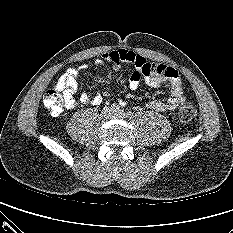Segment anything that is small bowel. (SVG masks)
<instances>
[{
  "label": "small bowel",
  "instance_id": "obj_1",
  "mask_svg": "<svg viewBox=\"0 0 233 233\" xmlns=\"http://www.w3.org/2000/svg\"><path fill=\"white\" fill-rule=\"evenodd\" d=\"M110 62L114 69H118L122 63H130L135 70L130 74L128 79L129 88L137 89L141 83L157 88L165 83L170 85V94L166 100H150L146 103V108L152 111L165 112L176 109L185 100L183 93L182 81L178 71L170 66L158 63H150L141 55L127 49H118L105 52L100 59L95 61L96 64ZM86 69V65L78 68L70 67L60 76L56 83V88L64 93L68 107L75 105L74 96L78 88V78L80 72ZM82 104L100 105L103 102L101 94L89 95L82 93L79 97ZM124 104L123 101L120 102Z\"/></svg>",
  "mask_w": 233,
  "mask_h": 233
}]
</instances>
